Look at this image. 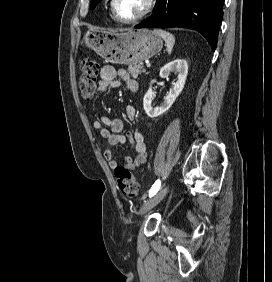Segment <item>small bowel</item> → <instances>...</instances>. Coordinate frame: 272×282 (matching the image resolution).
<instances>
[{"mask_svg": "<svg viewBox=\"0 0 272 282\" xmlns=\"http://www.w3.org/2000/svg\"><path fill=\"white\" fill-rule=\"evenodd\" d=\"M120 83L125 84L131 93H137L139 91L138 82L130 78L125 69H115L112 66L102 67L99 92H105L109 87L118 86ZM126 115L128 119H134L136 115L135 108L133 106H127ZM104 125L110 127L111 131L105 128ZM93 126L99 131L100 135L108 141L110 146L124 144L127 138L130 140L135 152V157L130 155L124 157L123 165L125 168L134 169L142 166L146 162L147 146L145 136L140 130L123 134V120L107 116H102L99 121L93 123ZM104 156L112 169L117 167L115 156L110 148L105 150Z\"/></svg>", "mask_w": 272, "mask_h": 282, "instance_id": "c3829d8e", "label": "small bowel"}]
</instances>
